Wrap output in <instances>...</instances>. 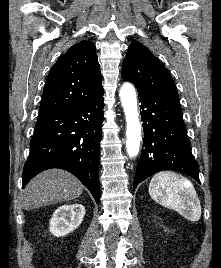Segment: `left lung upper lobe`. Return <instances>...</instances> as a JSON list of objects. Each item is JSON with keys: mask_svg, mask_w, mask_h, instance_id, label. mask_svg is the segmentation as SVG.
Instances as JSON below:
<instances>
[{"mask_svg": "<svg viewBox=\"0 0 221 268\" xmlns=\"http://www.w3.org/2000/svg\"><path fill=\"white\" fill-rule=\"evenodd\" d=\"M122 78L132 82L138 92L178 98L169 71L142 43L134 41L123 61Z\"/></svg>", "mask_w": 221, "mask_h": 268, "instance_id": "left-lung-upper-lobe-1", "label": "left lung upper lobe"}]
</instances>
